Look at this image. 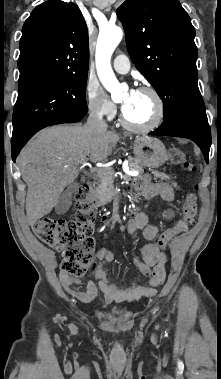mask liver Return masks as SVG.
Segmentation results:
<instances>
[{
  "label": "liver",
  "mask_w": 221,
  "mask_h": 379,
  "mask_svg": "<svg viewBox=\"0 0 221 379\" xmlns=\"http://www.w3.org/2000/svg\"><path fill=\"white\" fill-rule=\"evenodd\" d=\"M120 137L85 126H55L40 131L22 149L17 162L28 191L26 214L30 225L51 212L60 194L79 175L88 159L107 161Z\"/></svg>",
  "instance_id": "obj_1"
}]
</instances>
